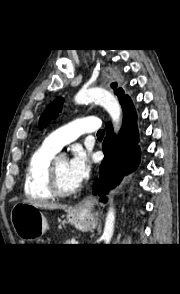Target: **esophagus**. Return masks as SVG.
I'll return each mask as SVG.
<instances>
[{
    "label": "esophagus",
    "instance_id": "esophagus-1",
    "mask_svg": "<svg viewBox=\"0 0 180 294\" xmlns=\"http://www.w3.org/2000/svg\"><path fill=\"white\" fill-rule=\"evenodd\" d=\"M96 202L97 201L94 196L88 195L75 205L73 211L77 214L89 213L95 207Z\"/></svg>",
    "mask_w": 180,
    "mask_h": 294
}]
</instances>
